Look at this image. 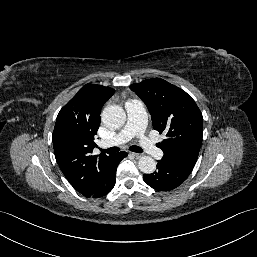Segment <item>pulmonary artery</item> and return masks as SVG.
Instances as JSON below:
<instances>
[{
    "label": "pulmonary artery",
    "mask_w": 257,
    "mask_h": 257,
    "mask_svg": "<svg viewBox=\"0 0 257 257\" xmlns=\"http://www.w3.org/2000/svg\"><path fill=\"white\" fill-rule=\"evenodd\" d=\"M125 108L127 112L126 125L111 141H104L101 146L106 148L119 145L133 137H138L140 145L148 154L156 159L161 158L162 150L156 146L151 138L145 135L147 117L143 102L137 99L128 100Z\"/></svg>",
    "instance_id": "e3ab8cb5"
}]
</instances>
